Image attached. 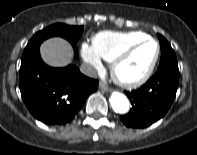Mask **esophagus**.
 Here are the masks:
<instances>
[{
  "label": "esophagus",
  "instance_id": "34e87169",
  "mask_svg": "<svg viewBox=\"0 0 197 155\" xmlns=\"http://www.w3.org/2000/svg\"><path fill=\"white\" fill-rule=\"evenodd\" d=\"M99 88L104 91V92H108L110 89L109 87L104 83V82H100L99 83Z\"/></svg>",
  "mask_w": 197,
  "mask_h": 155
}]
</instances>
